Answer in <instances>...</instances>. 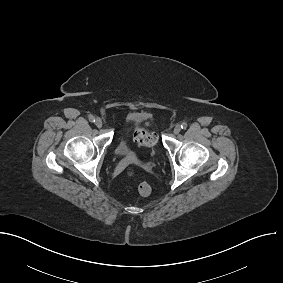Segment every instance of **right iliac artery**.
Masks as SVG:
<instances>
[{"label": "right iliac artery", "mask_w": 283, "mask_h": 283, "mask_svg": "<svg viewBox=\"0 0 283 283\" xmlns=\"http://www.w3.org/2000/svg\"><path fill=\"white\" fill-rule=\"evenodd\" d=\"M89 121H90V122H95V117H94L93 115H90V116H89Z\"/></svg>", "instance_id": "right-iliac-artery-1"}]
</instances>
